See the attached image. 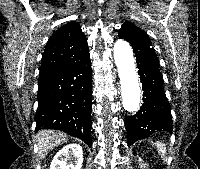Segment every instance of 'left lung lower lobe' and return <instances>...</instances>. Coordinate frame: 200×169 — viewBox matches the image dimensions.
Wrapping results in <instances>:
<instances>
[{"label":"left lung lower lobe","mask_w":200,"mask_h":169,"mask_svg":"<svg viewBox=\"0 0 200 169\" xmlns=\"http://www.w3.org/2000/svg\"><path fill=\"white\" fill-rule=\"evenodd\" d=\"M143 87V105L131 117L125 118L128 146L155 132L172 133L170 104L163 88L159 65L148 59L136 58Z\"/></svg>","instance_id":"obj_1"}]
</instances>
